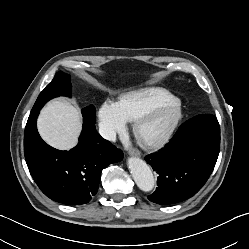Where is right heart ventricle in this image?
Segmentation results:
<instances>
[{
	"instance_id": "e07e8e85",
	"label": "right heart ventricle",
	"mask_w": 249,
	"mask_h": 249,
	"mask_svg": "<svg viewBox=\"0 0 249 249\" xmlns=\"http://www.w3.org/2000/svg\"><path fill=\"white\" fill-rule=\"evenodd\" d=\"M175 98L168 90L160 87H147L123 95L118 105L128 121H134L140 114L152 106Z\"/></svg>"
}]
</instances>
